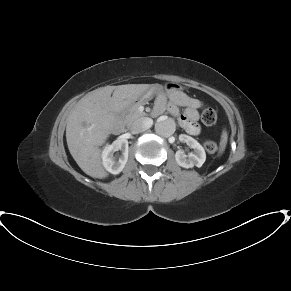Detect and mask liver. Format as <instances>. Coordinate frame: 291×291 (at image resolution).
I'll list each match as a JSON object with an SVG mask.
<instances>
[{"label": "liver", "mask_w": 291, "mask_h": 291, "mask_svg": "<svg viewBox=\"0 0 291 291\" xmlns=\"http://www.w3.org/2000/svg\"><path fill=\"white\" fill-rule=\"evenodd\" d=\"M150 86L101 87L86 94L70 111L66 126L68 149L87 175L98 179L108 176L101 161L100 146L105 144L116 125L115 113L142 97Z\"/></svg>", "instance_id": "obj_1"}]
</instances>
